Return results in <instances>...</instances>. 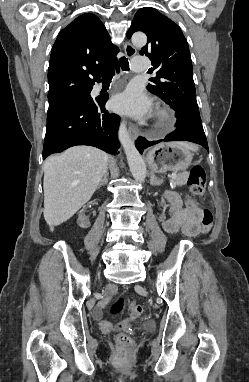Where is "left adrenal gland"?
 <instances>
[{"label":"left adrenal gland","mask_w":249,"mask_h":382,"mask_svg":"<svg viewBox=\"0 0 249 382\" xmlns=\"http://www.w3.org/2000/svg\"><path fill=\"white\" fill-rule=\"evenodd\" d=\"M150 184L152 186H160L162 184L161 179H157L154 173H151Z\"/></svg>","instance_id":"obj_1"}]
</instances>
